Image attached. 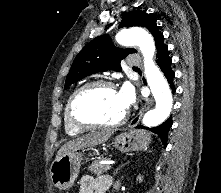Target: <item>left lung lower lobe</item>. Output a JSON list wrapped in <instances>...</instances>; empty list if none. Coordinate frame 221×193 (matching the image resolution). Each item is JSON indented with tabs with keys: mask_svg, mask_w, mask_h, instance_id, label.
<instances>
[{
	"mask_svg": "<svg viewBox=\"0 0 221 193\" xmlns=\"http://www.w3.org/2000/svg\"><path fill=\"white\" fill-rule=\"evenodd\" d=\"M157 60L156 62L158 63L160 69L164 73L171 89L172 93H175V87L173 84V79L175 76L174 71L171 69V58L168 55V48L167 46L162 42L157 46ZM172 125V117H169L165 122L160 124L159 126L153 127V128H147L142 125L137 126L136 128H142V129H148L152 131L153 133L157 134L164 146L166 147L167 145V134L169 129L171 128Z\"/></svg>",
	"mask_w": 221,
	"mask_h": 193,
	"instance_id": "left-lung-lower-lobe-1",
	"label": "left lung lower lobe"
}]
</instances>
